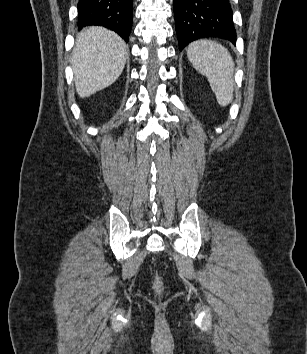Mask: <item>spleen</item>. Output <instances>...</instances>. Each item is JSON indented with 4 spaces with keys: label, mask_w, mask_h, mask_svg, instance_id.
<instances>
[{
    "label": "spleen",
    "mask_w": 307,
    "mask_h": 354,
    "mask_svg": "<svg viewBox=\"0 0 307 354\" xmlns=\"http://www.w3.org/2000/svg\"><path fill=\"white\" fill-rule=\"evenodd\" d=\"M187 56L193 67L207 77L219 105L227 106L235 85L234 62L228 50L216 41L200 39L188 46Z\"/></svg>",
    "instance_id": "spleen-1"
}]
</instances>
